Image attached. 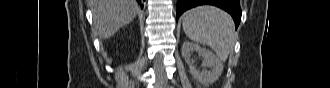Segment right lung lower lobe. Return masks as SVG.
Here are the masks:
<instances>
[{"instance_id":"98d812e1","label":"right lung lower lobe","mask_w":330,"mask_h":88,"mask_svg":"<svg viewBox=\"0 0 330 88\" xmlns=\"http://www.w3.org/2000/svg\"><path fill=\"white\" fill-rule=\"evenodd\" d=\"M145 0H137V2L139 3V4H142V2H144Z\"/></svg>"}]
</instances>
